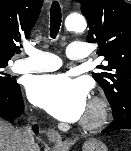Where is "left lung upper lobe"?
<instances>
[{
    "label": "left lung upper lobe",
    "mask_w": 131,
    "mask_h": 151,
    "mask_svg": "<svg viewBox=\"0 0 131 151\" xmlns=\"http://www.w3.org/2000/svg\"><path fill=\"white\" fill-rule=\"evenodd\" d=\"M89 23L87 41L98 44L108 61L93 73L111 105L113 116L131 112V4L124 0H77Z\"/></svg>",
    "instance_id": "5c2ea615"
}]
</instances>
